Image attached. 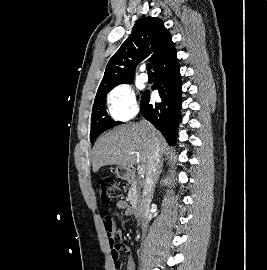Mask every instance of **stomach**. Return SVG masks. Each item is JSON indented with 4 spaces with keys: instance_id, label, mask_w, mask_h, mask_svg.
I'll list each match as a JSON object with an SVG mask.
<instances>
[{
    "instance_id": "0dacf381",
    "label": "stomach",
    "mask_w": 267,
    "mask_h": 270,
    "mask_svg": "<svg viewBox=\"0 0 267 270\" xmlns=\"http://www.w3.org/2000/svg\"><path fill=\"white\" fill-rule=\"evenodd\" d=\"M115 174L120 179H127L130 175V169L122 166L115 168Z\"/></svg>"
}]
</instances>
